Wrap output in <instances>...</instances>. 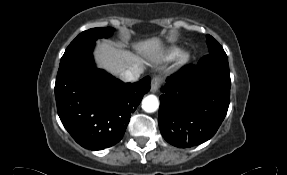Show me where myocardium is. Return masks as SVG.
Masks as SVG:
<instances>
[{"label":"myocardium","mask_w":287,"mask_h":175,"mask_svg":"<svg viewBox=\"0 0 287 175\" xmlns=\"http://www.w3.org/2000/svg\"><path fill=\"white\" fill-rule=\"evenodd\" d=\"M191 54L190 52H183L182 54H180L179 56V63L180 64H184L187 63L190 60Z\"/></svg>","instance_id":"obj_1"}]
</instances>
